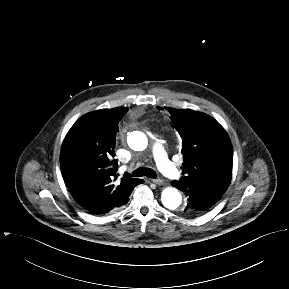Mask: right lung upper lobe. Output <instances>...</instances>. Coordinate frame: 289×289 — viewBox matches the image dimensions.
Returning a JSON list of instances; mask_svg holds the SVG:
<instances>
[{
    "instance_id": "cb5924a9",
    "label": "right lung upper lobe",
    "mask_w": 289,
    "mask_h": 289,
    "mask_svg": "<svg viewBox=\"0 0 289 289\" xmlns=\"http://www.w3.org/2000/svg\"><path fill=\"white\" fill-rule=\"evenodd\" d=\"M126 107L93 111L79 118L61 147L63 179L74 199L95 214H105L129 201L140 179L117 180L115 138Z\"/></svg>"
}]
</instances>
